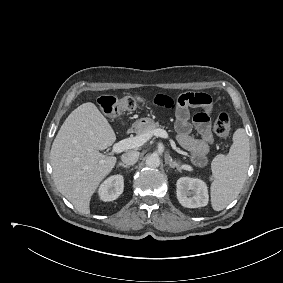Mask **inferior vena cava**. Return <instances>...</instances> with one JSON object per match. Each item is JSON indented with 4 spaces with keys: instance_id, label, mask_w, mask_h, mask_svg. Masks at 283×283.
Segmentation results:
<instances>
[{
    "instance_id": "1",
    "label": "inferior vena cava",
    "mask_w": 283,
    "mask_h": 283,
    "mask_svg": "<svg viewBox=\"0 0 283 283\" xmlns=\"http://www.w3.org/2000/svg\"><path fill=\"white\" fill-rule=\"evenodd\" d=\"M138 158H139L138 151H128L121 156V160L123 164L126 165H134L138 161Z\"/></svg>"
}]
</instances>
